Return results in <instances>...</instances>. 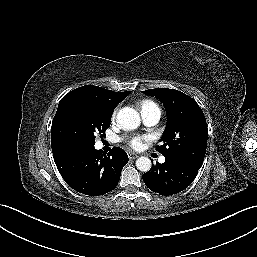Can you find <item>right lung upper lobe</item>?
Returning <instances> with one entry per match:
<instances>
[{
  "mask_svg": "<svg viewBox=\"0 0 257 257\" xmlns=\"http://www.w3.org/2000/svg\"><path fill=\"white\" fill-rule=\"evenodd\" d=\"M69 93H82L90 96H94L96 98L101 99L104 103H106L110 108L113 110L117 106L118 103L124 100V98L127 97V95L130 93L129 91L126 92H114L111 90H107L98 86L93 85H86L82 86L80 88H77ZM58 132V125L53 120L52 122V128H51V136L57 134ZM64 147H54L53 150L62 149Z\"/></svg>",
  "mask_w": 257,
  "mask_h": 257,
  "instance_id": "cb5924a9",
  "label": "right lung upper lobe"
}]
</instances>
